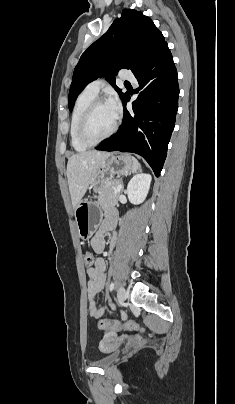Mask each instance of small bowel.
Segmentation results:
<instances>
[{"mask_svg":"<svg viewBox=\"0 0 235 404\" xmlns=\"http://www.w3.org/2000/svg\"><path fill=\"white\" fill-rule=\"evenodd\" d=\"M116 218L114 215L106 218L98 229L96 235L91 240L92 249L96 253H102L105 248V235L107 231L114 227ZM115 237L111 241V247L115 245ZM106 264L104 259L97 258L93 266L87 268V275L89 277L87 283V295H88V310L89 315L94 319H101L104 314V308L98 307L95 302L97 294L103 291L106 283L105 275ZM115 307H111V314L114 312Z\"/></svg>","mask_w":235,"mask_h":404,"instance_id":"small-bowel-1","label":"small bowel"}]
</instances>
